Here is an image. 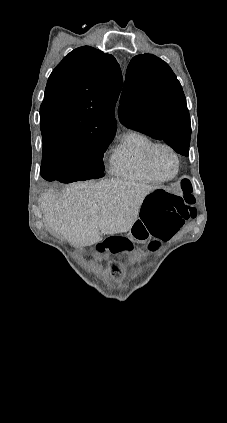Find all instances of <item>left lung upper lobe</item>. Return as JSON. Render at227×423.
I'll return each mask as SVG.
<instances>
[{
    "label": "left lung upper lobe",
    "mask_w": 227,
    "mask_h": 423,
    "mask_svg": "<svg viewBox=\"0 0 227 423\" xmlns=\"http://www.w3.org/2000/svg\"><path fill=\"white\" fill-rule=\"evenodd\" d=\"M118 115L125 126L171 147L190 143L191 123L182 86L169 65L152 54L131 59Z\"/></svg>",
    "instance_id": "obj_1"
}]
</instances>
